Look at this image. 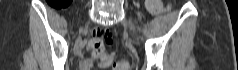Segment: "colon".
Masks as SVG:
<instances>
[{"instance_id": "obj_1", "label": "colon", "mask_w": 238, "mask_h": 70, "mask_svg": "<svg viewBox=\"0 0 238 70\" xmlns=\"http://www.w3.org/2000/svg\"><path fill=\"white\" fill-rule=\"evenodd\" d=\"M69 0H52V4L56 8H64L68 5ZM146 6L152 13H159L162 9L161 1L159 0H147ZM114 33L106 28H98L94 31L93 39L91 40L89 47L93 53L102 56L101 66L107 67L111 64V57L104 54V44L113 43ZM114 70H127L128 63L125 60H120L112 63Z\"/></svg>"}]
</instances>
